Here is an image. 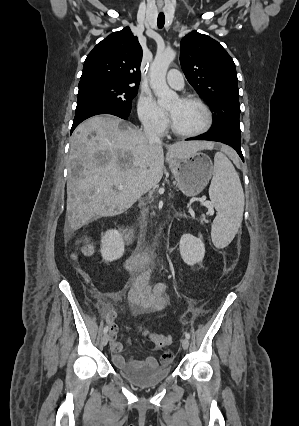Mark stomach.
Masks as SVG:
<instances>
[{
	"label": "stomach",
	"mask_w": 299,
	"mask_h": 426,
	"mask_svg": "<svg viewBox=\"0 0 299 426\" xmlns=\"http://www.w3.org/2000/svg\"><path fill=\"white\" fill-rule=\"evenodd\" d=\"M169 164L179 189L189 197L202 192L213 174L211 159L198 151L186 158L170 157Z\"/></svg>",
	"instance_id": "0dacf381"
}]
</instances>
